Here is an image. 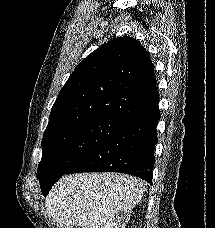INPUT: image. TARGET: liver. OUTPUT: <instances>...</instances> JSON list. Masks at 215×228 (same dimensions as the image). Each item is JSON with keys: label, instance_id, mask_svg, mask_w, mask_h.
<instances>
[{"label": "liver", "instance_id": "liver-1", "mask_svg": "<svg viewBox=\"0 0 215 228\" xmlns=\"http://www.w3.org/2000/svg\"><path fill=\"white\" fill-rule=\"evenodd\" d=\"M145 190L127 174H70L54 184L45 206L59 228H125Z\"/></svg>", "mask_w": 215, "mask_h": 228}]
</instances>
